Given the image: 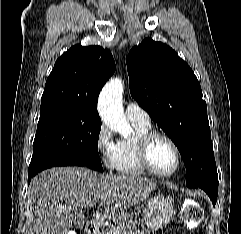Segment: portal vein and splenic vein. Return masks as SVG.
I'll return each mask as SVG.
<instances>
[{"label":"portal vein and splenic vein","instance_id":"1","mask_svg":"<svg viewBox=\"0 0 241 234\" xmlns=\"http://www.w3.org/2000/svg\"><path fill=\"white\" fill-rule=\"evenodd\" d=\"M105 197H102L101 200H100V204H102L104 201H105Z\"/></svg>","mask_w":241,"mask_h":234}]
</instances>
